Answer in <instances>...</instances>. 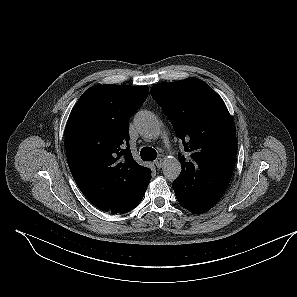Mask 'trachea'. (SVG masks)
Wrapping results in <instances>:
<instances>
[{
  "label": "trachea",
  "instance_id": "3493384b",
  "mask_svg": "<svg viewBox=\"0 0 297 297\" xmlns=\"http://www.w3.org/2000/svg\"><path fill=\"white\" fill-rule=\"evenodd\" d=\"M140 155L142 160L144 161H151V160H155L157 157V152L155 149L151 148V147H145L142 148L140 151Z\"/></svg>",
  "mask_w": 297,
  "mask_h": 297
}]
</instances>
